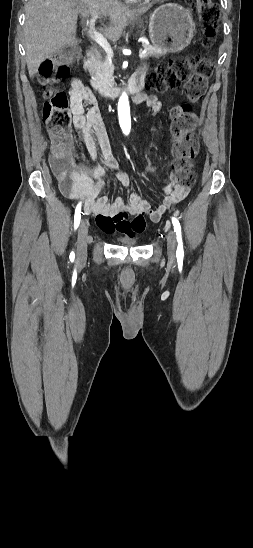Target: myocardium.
I'll use <instances>...</instances> for the list:
<instances>
[{"mask_svg": "<svg viewBox=\"0 0 253 548\" xmlns=\"http://www.w3.org/2000/svg\"><path fill=\"white\" fill-rule=\"evenodd\" d=\"M150 1H164V0H150Z\"/></svg>", "mask_w": 253, "mask_h": 548, "instance_id": "f54148a6", "label": "myocardium"}]
</instances>
